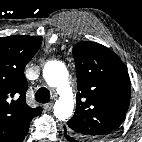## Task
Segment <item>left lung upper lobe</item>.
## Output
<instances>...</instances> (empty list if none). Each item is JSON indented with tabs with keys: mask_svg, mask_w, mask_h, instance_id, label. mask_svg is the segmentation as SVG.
<instances>
[{
	"mask_svg": "<svg viewBox=\"0 0 142 142\" xmlns=\"http://www.w3.org/2000/svg\"><path fill=\"white\" fill-rule=\"evenodd\" d=\"M78 93L74 116L64 128L80 142H107L117 133L130 102V79L109 48L88 41L74 46Z\"/></svg>",
	"mask_w": 142,
	"mask_h": 142,
	"instance_id": "obj_1",
	"label": "left lung upper lobe"
}]
</instances>
